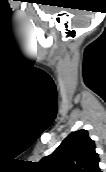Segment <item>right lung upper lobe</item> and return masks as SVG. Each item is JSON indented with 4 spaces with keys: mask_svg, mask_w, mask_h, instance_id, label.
<instances>
[{
    "mask_svg": "<svg viewBox=\"0 0 106 172\" xmlns=\"http://www.w3.org/2000/svg\"><path fill=\"white\" fill-rule=\"evenodd\" d=\"M95 143L87 130L72 132L58 148L39 163L43 172H102Z\"/></svg>",
    "mask_w": 106,
    "mask_h": 172,
    "instance_id": "1",
    "label": "right lung upper lobe"
}]
</instances>
